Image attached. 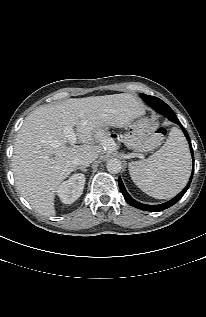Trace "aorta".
Listing matches in <instances>:
<instances>
[{"label":"aorta","mask_w":206,"mask_h":317,"mask_svg":"<svg viewBox=\"0 0 206 317\" xmlns=\"http://www.w3.org/2000/svg\"><path fill=\"white\" fill-rule=\"evenodd\" d=\"M106 167H107L108 172H110L112 174H117L122 169V163L119 159L112 158V159L108 160Z\"/></svg>","instance_id":"aorta-1"}]
</instances>
